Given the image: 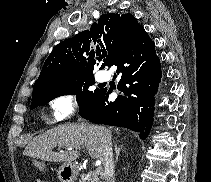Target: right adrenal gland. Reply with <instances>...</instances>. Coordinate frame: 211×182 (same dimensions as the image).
Listing matches in <instances>:
<instances>
[{
	"instance_id": "right-adrenal-gland-1",
	"label": "right adrenal gland",
	"mask_w": 211,
	"mask_h": 182,
	"mask_svg": "<svg viewBox=\"0 0 211 182\" xmlns=\"http://www.w3.org/2000/svg\"><path fill=\"white\" fill-rule=\"evenodd\" d=\"M115 152H116V161L118 160L119 152H120V147H117V144L115 143Z\"/></svg>"
}]
</instances>
